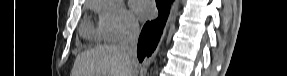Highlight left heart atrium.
Listing matches in <instances>:
<instances>
[{"label":"left heart atrium","instance_id":"left-heart-atrium-1","mask_svg":"<svg viewBox=\"0 0 287 76\" xmlns=\"http://www.w3.org/2000/svg\"><path fill=\"white\" fill-rule=\"evenodd\" d=\"M132 8L141 19H148L155 13L154 5L149 0H134Z\"/></svg>","mask_w":287,"mask_h":76}]
</instances>
